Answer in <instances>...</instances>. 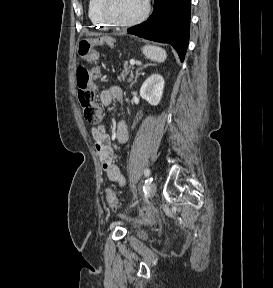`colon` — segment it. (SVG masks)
Here are the masks:
<instances>
[{"label":"colon","instance_id":"5ec220e1","mask_svg":"<svg viewBox=\"0 0 273 288\" xmlns=\"http://www.w3.org/2000/svg\"><path fill=\"white\" fill-rule=\"evenodd\" d=\"M79 57L84 62H94L98 58V52L89 40H82L78 48ZM99 76L97 68L88 70L83 66L77 68V97L82 108L84 119L89 123H95L100 118V111L95 100L93 80ZM106 202L113 210H118L119 202L116 193L112 189L106 190Z\"/></svg>","mask_w":273,"mask_h":288}]
</instances>
